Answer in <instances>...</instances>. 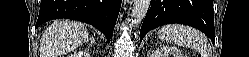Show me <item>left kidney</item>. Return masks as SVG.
<instances>
[{
  "instance_id": "5707ae66",
  "label": "left kidney",
  "mask_w": 249,
  "mask_h": 57,
  "mask_svg": "<svg viewBox=\"0 0 249 57\" xmlns=\"http://www.w3.org/2000/svg\"><path fill=\"white\" fill-rule=\"evenodd\" d=\"M152 57H185L176 47H160L153 51Z\"/></svg>"
}]
</instances>
